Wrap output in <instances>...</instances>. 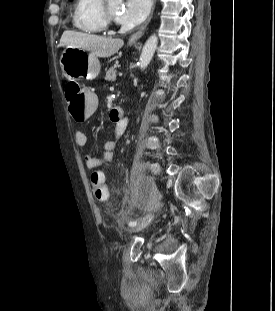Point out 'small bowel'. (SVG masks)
I'll list each match as a JSON object with an SVG mask.
<instances>
[{"instance_id":"c3829d8e","label":"small bowel","mask_w":275,"mask_h":311,"mask_svg":"<svg viewBox=\"0 0 275 311\" xmlns=\"http://www.w3.org/2000/svg\"><path fill=\"white\" fill-rule=\"evenodd\" d=\"M124 110H112L105 120L106 126H114L112 136L103 145V152L100 156L86 155L84 158L85 165L89 169H95L110 162L113 158V151L127 127V120L124 118ZM75 142L79 147L87 144V136L82 129L75 131Z\"/></svg>"}]
</instances>
